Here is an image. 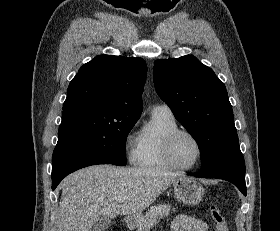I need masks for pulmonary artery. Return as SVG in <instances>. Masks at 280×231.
Wrapping results in <instances>:
<instances>
[{
    "label": "pulmonary artery",
    "instance_id": "e3ab8cb5",
    "mask_svg": "<svg viewBox=\"0 0 280 231\" xmlns=\"http://www.w3.org/2000/svg\"><path fill=\"white\" fill-rule=\"evenodd\" d=\"M154 111H162V112H167V113H171V109L169 108L168 105L166 104H158L154 106Z\"/></svg>",
    "mask_w": 280,
    "mask_h": 231
}]
</instances>
